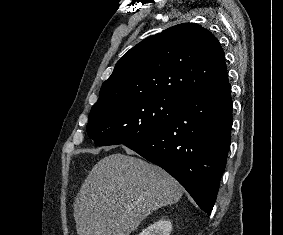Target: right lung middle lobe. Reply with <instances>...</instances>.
<instances>
[{"label": "right lung middle lobe", "instance_id": "dd1d6c3e", "mask_svg": "<svg viewBox=\"0 0 283 235\" xmlns=\"http://www.w3.org/2000/svg\"><path fill=\"white\" fill-rule=\"evenodd\" d=\"M179 100L170 97H130L92 107L88 136L98 146L127 144L163 127Z\"/></svg>", "mask_w": 283, "mask_h": 235}]
</instances>
